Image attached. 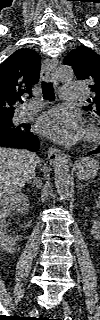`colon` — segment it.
I'll use <instances>...</instances> for the list:
<instances>
[{
    "label": "colon",
    "instance_id": "colon-1",
    "mask_svg": "<svg viewBox=\"0 0 100 320\" xmlns=\"http://www.w3.org/2000/svg\"><path fill=\"white\" fill-rule=\"evenodd\" d=\"M52 320H60V319H52Z\"/></svg>",
    "mask_w": 100,
    "mask_h": 320
}]
</instances>
